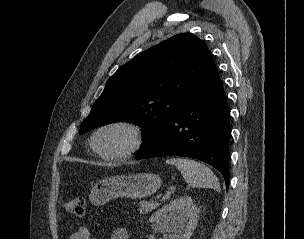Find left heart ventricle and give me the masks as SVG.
Masks as SVG:
<instances>
[{
  "label": "left heart ventricle",
  "instance_id": "obj_1",
  "mask_svg": "<svg viewBox=\"0 0 304 239\" xmlns=\"http://www.w3.org/2000/svg\"><path fill=\"white\" fill-rule=\"evenodd\" d=\"M130 136L121 128H112L103 131L97 139L98 147L105 153H115L128 146Z\"/></svg>",
  "mask_w": 304,
  "mask_h": 239
}]
</instances>
